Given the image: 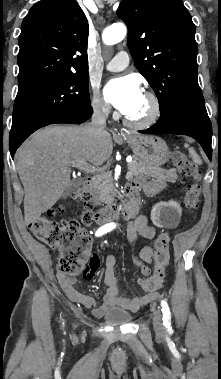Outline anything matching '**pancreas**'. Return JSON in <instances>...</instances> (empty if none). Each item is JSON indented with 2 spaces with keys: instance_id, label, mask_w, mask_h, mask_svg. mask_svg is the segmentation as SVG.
Returning a JSON list of instances; mask_svg holds the SVG:
<instances>
[{
  "instance_id": "pancreas-1",
  "label": "pancreas",
  "mask_w": 221,
  "mask_h": 379,
  "mask_svg": "<svg viewBox=\"0 0 221 379\" xmlns=\"http://www.w3.org/2000/svg\"><path fill=\"white\" fill-rule=\"evenodd\" d=\"M128 169L132 172L133 176L146 175L167 182H176L178 179L175 169L165 170L153 167L136 157L128 164ZM91 194L96 200L101 202H111L114 200L116 191L109 171L102 172L93 180Z\"/></svg>"
}]
</instances>
